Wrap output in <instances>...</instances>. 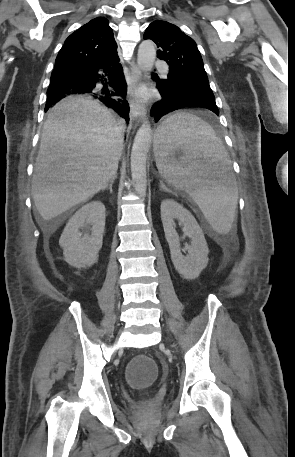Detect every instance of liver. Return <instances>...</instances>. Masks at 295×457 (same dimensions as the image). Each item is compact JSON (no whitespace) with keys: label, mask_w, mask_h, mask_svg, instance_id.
I'll use <instances>...</instances> for the list:
<instances>
[{"label":"liver","mask_w":295,"mask_h":457,"mask_svg":"<svg viewBox=\"0 0 295 457\" xmlns=\"http://www.w3.org/2000/svg\"><path fill=\"white\" fill-rule=\"evenodd\" d=\"M122 124L90 97H67L50 109L32 179L40 216L51 221L105 189L116 175Z\"/></svg>","instance_id":"1"}]
</instances>
